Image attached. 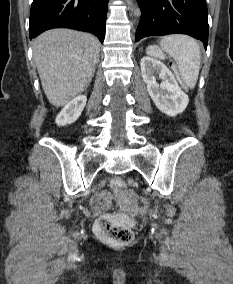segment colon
<instances>
[{
  "instance_id": "1",
  "label": "colon",
  "mask_w": 233,
  "mask_h": 284,
  "mask_svg": "<svg viewBox=\"0 0 233 284\" xmlns=\"http://www.w3.org/2000/svg\"><path fill=\"white\" fill-rule=\"evenodd\" d=\"M147 54L152 58L160 60L166 59L163 51L156 45L149 46L147 48ZM168 63L169 66L176 72L174 62L172 60H168ZM177 79L183 87H186V84L178 75ZM110 187L116 198L126 203L129 208H139V202L137 200L130 199L124 192L125 182L123 179L119 177L112 178L110 180ZM95 230L100 237L114 244H128L134 238L133 231L129 227L127 221L120 215L116 214H107L101 216L96 222Z\"/></svg>"
}]
</instances>
